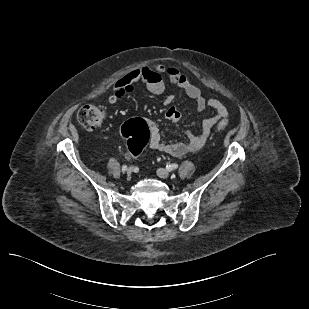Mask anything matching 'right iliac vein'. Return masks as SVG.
Here are the masks:
<instances>
[{
	"label": "right iliac vein",
	"instance_id": "1",
	"mask_svg": "<svg viewBox=\"0 0 309 309\" xmlns=\"http://www.w3.org/2000/svg\"><path fill=\"white\" fill-rule=\"evenodd\" d=\"M126 173L128 176H130L133 173V167H129Z\"/></svg>",
	"mask_w": 309,
	"mask_h": 309
}]
</instances>
